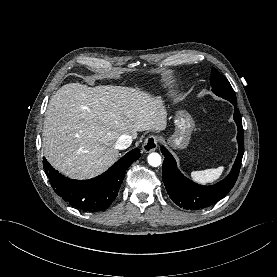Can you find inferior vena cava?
Instances as JSON below:
<instances>
[{
  "instance_id": "602c4592",
  "label": "inferior vena cava",
  "mask_w": 277,
  "mask_h": 277,
  "mask_svg": "<svg viewBox=\"0 0 277 277\" xmlns=\"http://www.w3.org/2000/svg\"><path fill=\"white\" fill-rule=\"evenodd\" d=\"M132 143V137L130 135L124 134L121 135L116 141V148L123 150L128 148Z\"/></svg>"
}]
</instances>
